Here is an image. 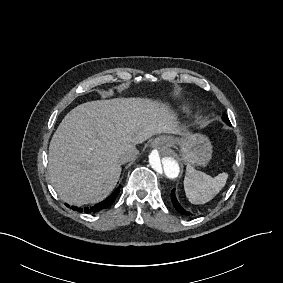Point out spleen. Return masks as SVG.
<instances>
[{
	"instance_id": "spleen-1",
	"label": "spleen",
	"mask_w": 283,
	"mask_h": 283,
	"mask_svg": "<svg viewBox=\"0 0 283 283\" xmlns=\"http://www.w3.org/2000/svg\"><path fill=\"white\" fill-rule=\"evenodd\" d=\"M228 174L223 172L211 177L187 165L184 178L186 197L192 204H205L212 200L225 186Z\"/></svg>"
}]
</instances>
